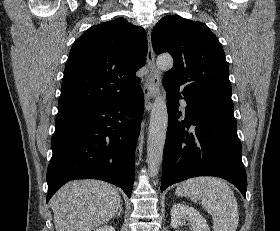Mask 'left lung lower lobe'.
I'll use <instances>...</instances> for the list:
<instances>
[{"mask_svg": "<svg viewBox=\"0 0 280 231\" xmlns=\"http://www.w3.org/2000/svg\"><path fill=\"white\" fill-rule=\"evenodd\" d=\"M178 92L167 90L169 126L163 154L161 191L197 176L221 177L246 198L247 178L241 160L233 109L190 100L184 121H178ZM194 131L187 132L191 126Z\"/></svg>", "mask_w": 280, "mask_h": 231, "instance_id": "1", "label": "left lung lower lobe"}]
</instances>
